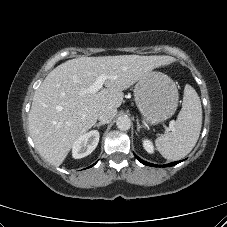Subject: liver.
I'll return each instance as SVG.
<instances>
[{
	"mask_svg": "<svg viewBox=\"0 0 227 227\" xmlns=\"http://www.w3.org/2000/svg\"><path fill=\"white\" fill-rule=\"evenodd\" d=\"M172 61L169 56L119 55L79 57L57 66L35 91L29 113V131L39 154L52 165H61L103 108L117 110L123 90ZM100 75L109 77L105 88L83 93Z\"/></svg>",
	"mask_w": 227,
	"mask_h": 227,
	"instance_id": "liver-1",
	"label": "liver"
}]
</instances>
